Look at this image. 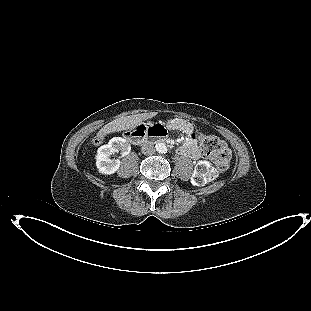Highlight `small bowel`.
Here are the masks:
<instances>
[{"label":"small bowel","mask_w":311,"mask_h":311,"mask_svg":"<svg viewBox=\"0 0 311 311\" xmlns=\"http://www.w3.org/2000/svg\"><path fill=\"white\" fill-rule=\"evenodd\" d=\"M167 126L172 130L181 131L187 136L186 140L179 148V154L198 159L200 157V152L197 147L196 132L192 124L182 118H172L168 120Z\"/></svg>","instance_id":"obj_1"}]
</instances>
